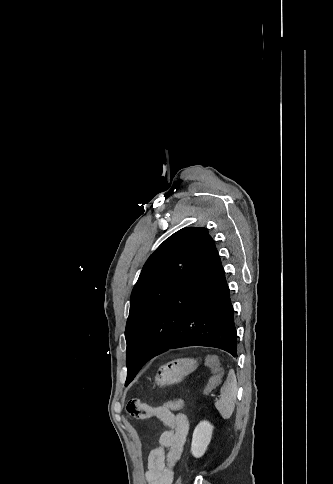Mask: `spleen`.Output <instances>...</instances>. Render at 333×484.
<instances>
[{"label": "spleen", "instance_id": "obj_1", "mask_svg": "<svg viewBox=\"0 0 333 484\" xmlns=\"http://www.w3.org/2000/svg\"><path fill=\"white\" fill-rule=\"evenodd\" d=\"M216 383L215 379L208 384V391ZM237 394V380L234 370H230L226 382L220 390V398L215 402V407L223 419H229L235 408Z\"/></svg>", "mask_w": 333, "mask_h": 484}]
</instances>
